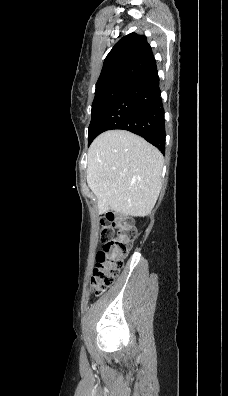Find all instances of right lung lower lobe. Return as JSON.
Returning a JSON list of instances; mask_svg holds the SVG:
<instances>
[{"label": "right lung lower lobe", "instance_id": "98d812e1", "mask_svg": "<svg viewBox=\"0 0 228 396\" xmlns=\"http://www.w3.org/2000/svg\"><path fill=\"white\" fill-rule=\"evenodd\" d=\"M156 64L128 84L95 125V135L111 129L133 132L165 153L164 109Z\"/></svg>", "mask_w": 228, "mask_h": 396}]
</instances>
